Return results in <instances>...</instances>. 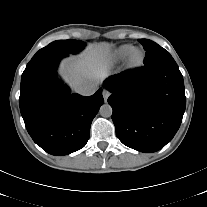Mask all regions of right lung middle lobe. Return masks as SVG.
Here are the masks:
<instances>
[{
	"label": "right lung middle lobe",
	"mask_w": 207,
	"mask_h": 207,
	"mask_svg": "<svg viewBox=\"0 0 207 207\" xmlns=\"http://www.w3.org/2000/svg\"><path fill=\"white\" fill-rule=\"evenodd\" d=\"M85 43L80 40H57L46 47L40 49L31 59V61L49 56V55H68L77 53L83 49Z\"/></svg>",
	"instance_id": "dd1d6c3e"
}]
</instances>
